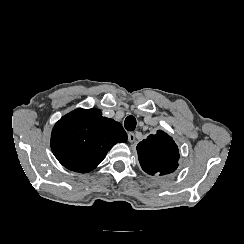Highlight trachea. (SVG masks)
<instances>
[{
  "label": "trachea",
  "instance_id": "1",
  "mask_svg": "<svg viewBox=\"0 0 244 244\" xmlns=\"http://www.w3.org/2000/svg\"><path fill=\"white\" fill-rule=\"evenodd\" d=\"M137 121L134 116L126 117L124 121V126L127 131H133L136 128Z\"/></svg>",
  "mask_w": 244,
  "mask_h": 244
}]
</instances>
